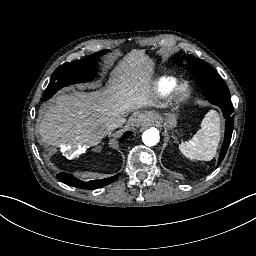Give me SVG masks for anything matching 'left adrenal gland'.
Wrapping results in <instances>:
<instances>
[{"instance_id": "obj_1", "label": "left adrenal gland", "mask_w": 256, "mask_h": 256, "mask_svg": "<svg viewBox=\"0 0 256 256\" xmlns=\"http://www.w3.org/2000/svg\"><path fill=\"white\" fill-rule=\"evenodd\" d=\"M172 138H173L174 140H177V137H176L175 135H172Z\"/></svg>"}]
</instances>
